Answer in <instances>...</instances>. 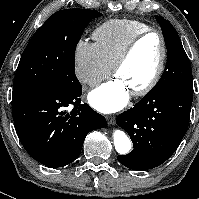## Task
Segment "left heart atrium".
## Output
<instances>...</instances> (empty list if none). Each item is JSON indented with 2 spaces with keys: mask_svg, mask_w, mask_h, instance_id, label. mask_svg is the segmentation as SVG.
<instances>
[{
  "mask_svg": "<svg viewBox=\"0 0 199 199\" xmlns=\"http://www.w3.org/2000/svg\"><path fill=\"white\" fill-rule=\"evenodd\" d=\"M130 91L118 77L102 84L88 94V101L102 113H114L126 106Z\"/></svg>",
  "mask_w": 199,
  "mask_h": 199,
  "instance_id": "obj_1",
  "label": "left heart atrium"
}]
</instances>
